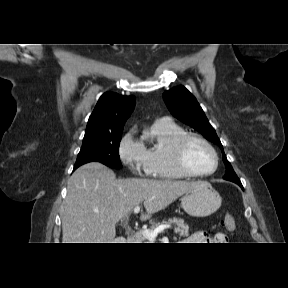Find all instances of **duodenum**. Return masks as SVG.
<instances>
[{
	"label": "duodenum",
	"mask_w": 288,
	"mask_h": 288,
	"mask_svg": "<svg viewBox=\"0 0 288 288\" xmlns=\"http://www.w3.org/2000/svg\"><path fill=\"white\" fill-rule=\"evenodd\" d=\"M121 241V243H130V239L126 237L121 238Z\"/></svg>",
	"instance_id": "obj_1"
}]
</instances>
